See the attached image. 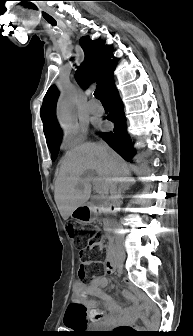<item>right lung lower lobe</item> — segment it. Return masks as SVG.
I'll list each match as a JSON object with an SVG mask.
<instances>
[{"mask_svg":"<svg viewBox=\"0 0 193 336\" xmlns=\"http://www.w3.org/2000/svg\"><path fill=\"white\" fill-rule=\"evenodd\" d=\"M104 95L110 103L112 110L107 116V119L114 122L115 126L111 132L100 133V136L126 161L132 162L136 151L133 148L129 135L127 134L123 103L119 97L114 80L108 85Z\"/></svg>","mask_w":193,"mask_h":336,"instance_id":"98d812e1","label":"right lung lower lobe"}]
</instances>
